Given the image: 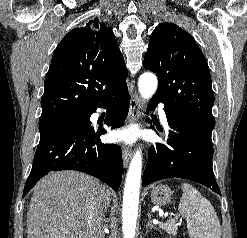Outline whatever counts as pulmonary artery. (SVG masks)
I'll return each mask as SVG.
<instances>
[{
    "mask_svg": "<svg viewBox=\"0 0 247 238\" xmlns=\"http://www.w3.org/2000/svg\"><path fill=\"white\" fill-rule=\"evenodd\" d=\"M164 106L161 104L159 105L158 107V114H159V117H160V120L161 122L166 125L167 124V117H166V113H165V110L163 108Z\"/></svg>",
    "mask_w": 247,
    "mask_h": 238,
    "instance_id": "obj_1",
    "label": "pulmonary artery"
}]
</instances>
